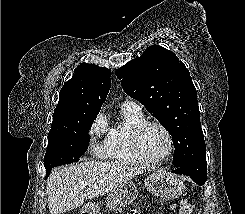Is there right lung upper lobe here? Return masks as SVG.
<instances>
[{
    "label": "right lung upper lobe",
    "instance_id": "obj_1",
    "mask_svg": "<svg viewBox=\"0 0 245 214\" xmlns=\"http://www.w3.org/2000/svg\"><path fill=\"white\" fill-rule=\"evenodd\" d=\"M111 70L82 63L59 93L49 135L70 128L83 114L99 112L110 89Z\"/></svg>",
    "mask_w": 245,
    "mask_h": 214
}]
</instances>
